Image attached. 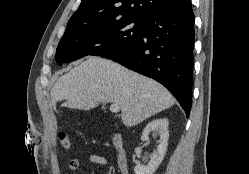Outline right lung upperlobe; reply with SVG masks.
<instances>
[{
  "label": "right lung upper lobe",
  "mask_w": 249,
  "mask_h": 174,
  "mask_svg": "<svg viewBox=\"0 0 249 174\" xmlns=\"http://www.w3.org/2000/svg\"><path fill=\"white\" fill-rule=\"evenodd\" d=\"M190 4V0H82L70 18L67 29L123 17L146 20L156 13Z\"/></svg>",
  "instance_id": "obj_1"
}]
</instances>
